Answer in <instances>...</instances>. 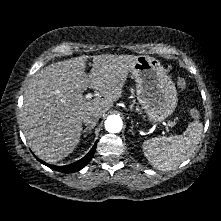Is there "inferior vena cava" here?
I'll use <instances>...</instances> for the list:
<instances>
[{
  "label": "inferior vena cava",
  "instance_id": "602c4592",
  "mask_svg": "<svg viewBox=\"0 0 221 221\" xmlns=\"http://www.w3.org/2000/svg\"><path fill=\"white\" fill-rule=\"evenodd\" d=\"M99 120V115L95 113H88L83 116L82 121L83 123L88 127H94L96 126L97 122Z\"/></svg>",
  "mask_w": 221,
  "mask_h": 221
}]
</instances>
